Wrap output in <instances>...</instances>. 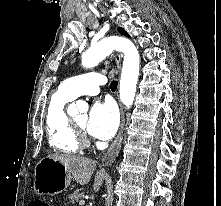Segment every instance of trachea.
<instances>
[{"label":"trachea","mask_w":221,"mask_h":206,"mask_svg":"<svg viewBox=\"0 0 221 206\" xmlns=\"http://www.w3.org/2000/svg\"><path fill=\"white\" fill-rule=\"evenodd\" d=\"M117 85H118V82L117 81H112L111 83H110V89L112 90V91H115L116 90V88H117Z\"/></svg>","instance_id":"1"}]
</instances>
